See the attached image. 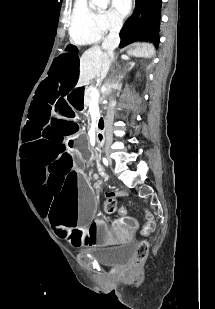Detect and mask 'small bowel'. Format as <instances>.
<instances>
[{
	"instance_id": "small-bowel-1",
	"label": "small bowel",
	"mask_w": 215,
	"mask_h": 309,
	"mask_svg": "<svg viewBox=\"0 0 215 309\" xmlns=\"http://www.w3.org/2000/svg\"><path fill=\"white\" fill-rule=\"evenodd\" d=\"M127 213V212H126ZM126 213H121L123 216H125L126 215ZM153 224V218H152V216L151 215H148V224H147V226L145 227V230L146 231H150L151 230V225Z\"/></svg>"
}]
</instances>
